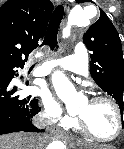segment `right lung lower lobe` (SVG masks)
<instances>
[{"mask_svg":"<svg viewBox=\"0 0 124 149\" xmlns=\"http://www.w3.org/2000/svg\"><path fill=\"white\" fill-rule=\"evenodd\" d=\"M14 66L0 67V135L12 132H43L32 124V118L39 112L37 100L28 96L15 95L16 87L10 81L18 75Z\"/></svg>","mask_w":124,"mask_h":149,"instance_id":"1","label":"right lung lower lobe"}]
</instances>
